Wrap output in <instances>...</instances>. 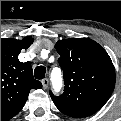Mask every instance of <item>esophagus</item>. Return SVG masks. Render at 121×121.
Masks as SVG:
<instances>
[{
    "label": "esophagus",
    "mask_w": 121,
    "mask_h": 121,
    "mask_svg": "<svg viewBox=\"0 0 121 121\" xmlns=\"http://www.w3.org/2000/svg\"><path fill=\"white\" fill-rule=\"evenodd\" d=\"M48 85H49L48 79L47 78L43 79L42 80L43 89H47L48 88Z\"/></svg>",
    "instance_id": "obj_1"
}]
</instances>
